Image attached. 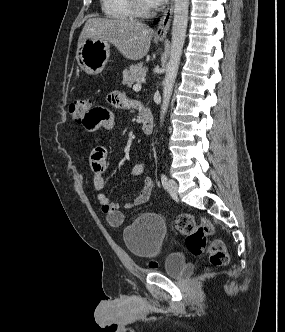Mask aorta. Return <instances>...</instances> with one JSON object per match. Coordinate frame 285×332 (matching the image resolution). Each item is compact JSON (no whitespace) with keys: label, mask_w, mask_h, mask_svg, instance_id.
Listing matches in <instances>:
<instances>
[{"label":"aorta","mask_w":285,"mask_h":332,"mask_svg":"<svg viewBox=\"0 0 285 332\" xmlns=\"http://www.w3.org/2000/svg\"><path fill=\"white\" fill-rule=\"evenodd\" d=\"M189 0H175L174 19L172 26L171 53L166 67V75L163 81V101L161 105L160 120L164 121L174 82L177 76L183 45L186 37L188 22Z\"/></svg>","instance_id":"aorta-1"}]
</instances>
